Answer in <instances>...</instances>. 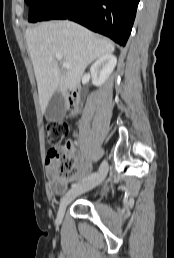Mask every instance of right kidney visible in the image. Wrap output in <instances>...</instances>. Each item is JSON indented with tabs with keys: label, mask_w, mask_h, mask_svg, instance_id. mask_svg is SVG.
<instances>
[{
	"label": "right kidney",
	"mask_w": 174,
	"mask_h": 258,
	"mask_svg": "<svg viewBox=\"0 0 174 258\" xmlns=\"http://www.w3.org/2000/svg\"><path fill=\"white\" fill-rule=\"evenodd\" d=\"M117 64V58L112 55L100 57L90 68L92 82L96 86H101L106 82Z\"/></svg>",
	"instance_id": "right-kidney-1"
}]
</instances>
